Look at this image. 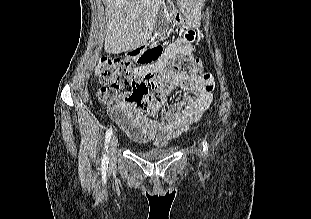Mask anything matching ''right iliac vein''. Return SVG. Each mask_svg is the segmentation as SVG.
<instances>
[{
    "label": "right iliac vein",
    "mask_w": 311,
    "mask_h": 219,
    "mask_svg": "<svg viewBox=\"0 0 311 219\" xmlns=\"http://www.w3.org/2000/svg\"><path fill=\"white\" fill-rule=\"evenodd\" d=\"M117 143H118L117 137L112 136V138L110 140V144H109V160H110V163H113L116 160Z\"/></svg>",
    "instance_id": "obj_1"
}]
</instances>
